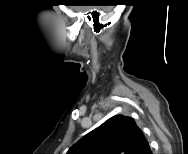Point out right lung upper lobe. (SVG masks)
Wrapping results in <instances>:
<instances>
[{
	"instance_id": "1",
	"label": "right lung upper lobe",
	"mask_w": 188,
	"mask_h": 154,
	"mask_svg": "<svg viewBox=\"0 0 188 154\" xmlns=\"http://www.w3.org/2000/svg\"><path fill=\"white\" fill-rule=\"evenodd\" d=\"M143 132L131 117L116 115L81 138L67 154H150Z\"/></svg>"
}]
</instances>
